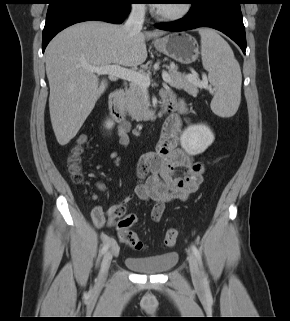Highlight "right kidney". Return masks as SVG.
Returning a JSON list of instances; mask_svg holds the SVG:
<instances>
[{
    "label": "right kidney",
    "instance_id": "ca27d5eb",
    "mask_svg": "<svg viewBox=\"0 0 290 321\" xmlns=\"http://www.w3.org/2000/svg\"><path fill=\"white\" fill-rule=\"evenodd\" d=\"M113 126H114V122L112 120L109 119L105 122V127L107 129H111Z\"/></svg>",
    "mask_w": 290,
    "mask_h": 321
}]
</instances>
